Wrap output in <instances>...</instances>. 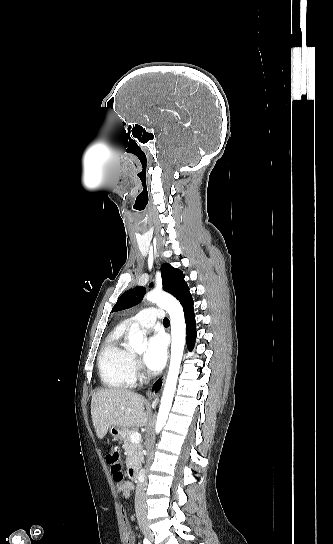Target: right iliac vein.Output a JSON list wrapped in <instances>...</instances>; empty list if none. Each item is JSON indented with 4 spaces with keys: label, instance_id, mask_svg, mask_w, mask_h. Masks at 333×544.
Returning a JSON list of instances; mask_svg holds the SVG:
<instances>
[{
    "label": "right iliac vein",
    "instance_id": "1",
    "mask_svg": "<svg viewBox=\"0 0 333 544\" xmlns=\"http://www.w3.org/2000/svg\"><path fill=\"white\" fill-rule=\"evenodd\" d=\"M140 527L142 529V532L143 534L145 535V537L150 540V541H153V534L151 533V531L149 530V528L147 527L146 524L144 523H141L140 524Z\"/></svg>",
    "mask_w": 333,
    "mask_h": 544
}]
</instances>
